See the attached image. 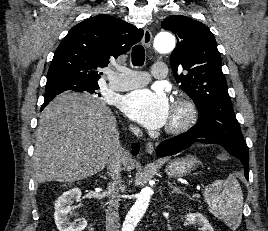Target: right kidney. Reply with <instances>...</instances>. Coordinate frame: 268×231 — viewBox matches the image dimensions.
I'll use <instances>...</instances> for the list:
<instances>
[{"instance_id":"1","label":"right kidney","mask_w":268,"mask_h":231,"mask_svg":"<svg viewBox=\"0 0 268 231\" xmlns=\"http://www.w3.org/2000/svg\"><path fill=\"white\" fill-rule=\"evenodd\" d=\"M81 190L79 188H72L64 192L55 202L54 219L59 231H82L87 226L85 219L79 222H70L68 214L71 212L74 201H80Z\"/></svg>"}]
</instances>
